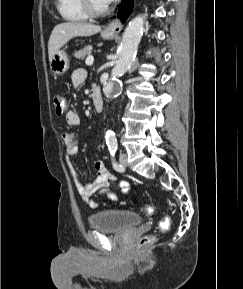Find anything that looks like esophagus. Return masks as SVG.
<instances>
[{
	"label": "esophagus",
	"instance_id": "obj_1",
	"mask_svg": "<svg viewBox=\"0 0 243 289\" xmlns=\"http://www.w3.org/2000/svg\"><path fill=\"white\" fill-rule=\"evenodd\" d=\"M122 23L119 19H114L110 21L105 27V31L111 34H118L122 30Z\"/></svg>",
	"mask_w": 243,
	"mask_h": 289
}]
</instances>
